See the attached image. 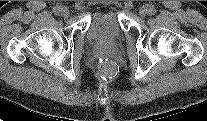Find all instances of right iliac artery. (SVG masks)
<instances>
[{
    "mask_svg": "<svg viewBox=\"0 0 207 121\" xmlns=\"http://www.w3.org/2000/svg\"><path fill=\"white\" fill-rule=\"evenodd\" d=\"M61 9H62V7L61 6H56V7H54V13H55V15H60L61 14Z\"/></svg>",
    "mask_w": 207,
    "mask_h": 121,
    "instance_id": "82829eb1",
    "label": "right iliac artery"
}]
</instances>
